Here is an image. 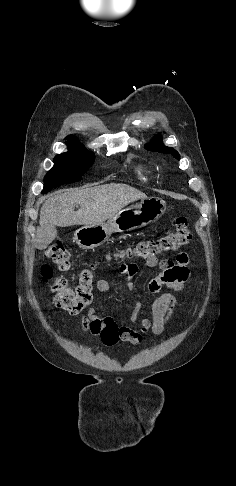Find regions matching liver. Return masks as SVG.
Instances as JSON below:
<instances>
[{
	"label": "liver",
	"mask_w": 236,
	"mask_h": 486,
	"mask_svg": "<svg viewBox=\"0 0 236 486\" xmlns=\"http://www.w3.org/2000/svg\"><path fill=\"white\" fill-rule=\"evenodd\" d=\"M146 198V194L129 185L115 183L58 192L49 197L41 208L40 230L48 225L100 224L129 203ZM77 205L80 208L74 211Z\"/></svg>",
	"instance_id": "1"
}]
</instances>
